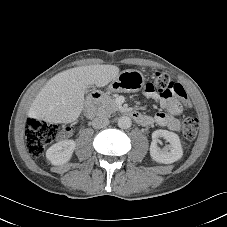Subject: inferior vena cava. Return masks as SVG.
I'll return each instance as SVG.
<instances>
[{"label":"inferior vena cava","mask_w":227,"mask_h":227,"mask_svg":"<svg viewBox=\"0 0 227 227\" xmlns=\"http://www.w3.org/2000/svg\"><path fill=\"white\" fill-rule=\"evenodd\" d=\"M109 124V119L106 116H97L92 121V126L94 129H101Z\"/></svg>","instance_id":"602c4592"}]
</instances>
